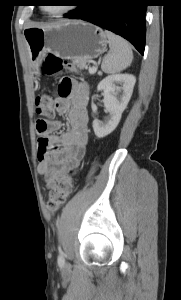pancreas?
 Instances as JSON below:
<instances>
[{
  "label": "pancreas",
  "instance_id": "obj_1",
  "mask_svg": "<svg viewBox=\"0 0 181 300\" xmlns=\"http://www.w3.org/2000/svg\"><path fill=\"white\" fill-rule=\"evenodd\" d=\"M73 64L76 65L78 68L83 69L86 63L84 64L79 60H73Z\"/></svg>",
  "mask_w": 181,
  "mask_h": 300
}]
</instances>
